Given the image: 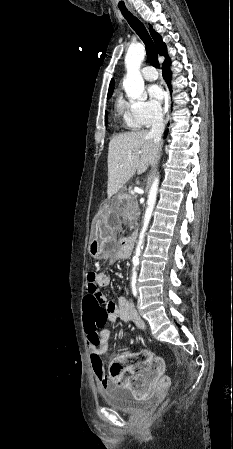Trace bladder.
Returning a JSON list of instances; mask_svg holds the SVG:
<instances>
[{
	"mask_svg": "<svg viewBox=\"0 0 233 449\" xmlns=\"http://www.w3.org/2000/svg\"><path fill=\"white\" fill-rule=\"evenodd\" d=\"M102 397L108 406L122 412H138L150 406L149 400H137L130 389L123 387L105 389Z\"/></svg>",
	"mask_w": 233,
	"mask_h": 449,
	"instance_id": "1",
	"label": "bladder"
}]
</instances>
